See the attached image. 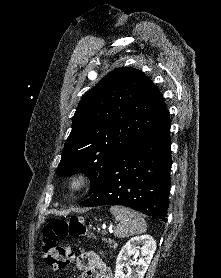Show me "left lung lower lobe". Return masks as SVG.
I'll return each instance as SVG.
<instances>
[{"label": "left lung lower lobe", "mask_w": 221, "mask_h": 278, "mask_svg": "<svg viewBox=\"0 0 221 278\" xmlns=\"http://www.w3.org/2000/svg\"><path fill=\"white\" fill-rule=\"evenodd\" d=\"M169 132L167 111L117 155L92 195L81 204L123 205L166 222L171 168Z\"/></svg>", "instance_id": "0a47b994"}]
</instances>
